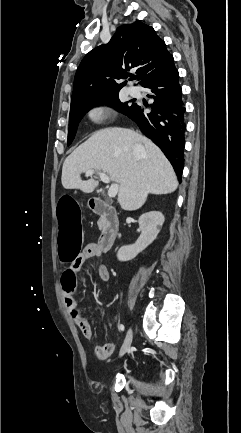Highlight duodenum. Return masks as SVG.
I'll return each instance as SVG.
<instances>
[{
  "label": "duodenum",
  "instance_id": "obj_1",
  "mask_svg": "<svg viewBox=\"0 0 241 433\" xmlns=\"http://www.w3.org/2000/svg\"><path fill=\"white\" fill-rule=\"evenodd\" d=\"M90 209L102 219V231L98 241V247L102 252L109 251L117 238L119 231V219L115 209L104 200L92 197L89 199Z\"/></svg>",
  "mask_w": 241,
  "mask_h": 433
}]
</instances>
